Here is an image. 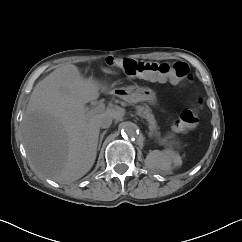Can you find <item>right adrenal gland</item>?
I'll return each mask as SVG.
<instances>
[{"label": "right adrenal gland", "mask_w": 242, "mask_h": 242, "mask_svg": "<svg viewBox=\"0 0 242 242\" xmlns=\"http://www.w3.org/2000/svg\"><path fill=\"white\" fill-rule=\"evenodd\" d=\"M106 134V130L100 135V139H99V145H98V150H100L104 135Z\"/></svg>", "instance_id": "obj_1"}]
</instances>
